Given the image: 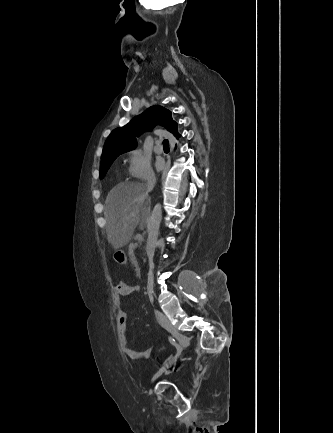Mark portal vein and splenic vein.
I'll list each match as a JSON object with an SVG mask.
<instances>
[{"label": "portal vein and splenic vein", "instance_id": "18ae733b", "mask_svg": "<svg viewBox=\"0 0 333 433\" xmlns=\"http://www.w3.org/2000/svg\"><path fill=\"white\" fill-rule=\"evenodd\" d=\"M137 240H138V241L142 240V236H141V235H138V236H137Z\"/></svg>", "mask_w": 333, "mask_h": 433}]
</instances>
